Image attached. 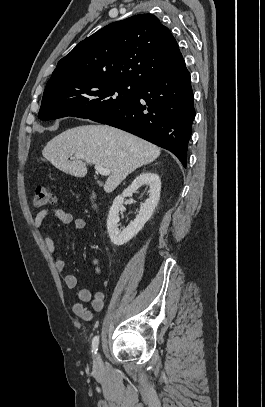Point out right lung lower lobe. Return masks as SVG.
I'll return each instance as SVG.
<instances>
[{
    "instance_id": "obj_1",
    "label": "right lung lower lobe",
    "mask_w": 265,
    "mask_h": 407,
    "mask_svg": "<svg viewBox=\"0 0 265 407\" xmlns=\"http://www.w3.org/2000/svg\"><path fill=\"white\" fill-rule=\"evenodd\" d=\"M194 118L190 72L180 56L171 69L142 83L131 103L90 119L171 151L186 168Z\"/></svg>"
}]
</instances>
